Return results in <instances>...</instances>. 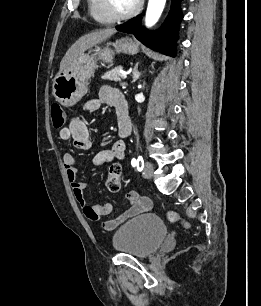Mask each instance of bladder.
Segmentation results:
<instances>
[{
  "label": "bladder",
  "mask_w": 261,
  "mask_h": 306,
  "mask_svg": "<svg viewBox=\"0 0 261 306\" xmlns=\"http://www.w3.org/2000/svg\"><path fill=\"white\" fill-rule=\"evenodd\" d=\"M167 233V226L160 217L143 214L121 225L112 237V245L120 253L146 258L157 251Z\"/></svg>",
  "instance_id": "bladder-1"
}]
</instances>
